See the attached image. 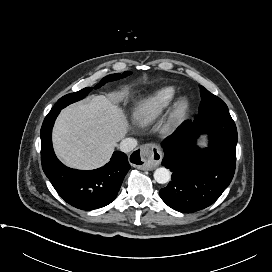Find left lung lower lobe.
I'll return each instance as SVG.
<instances>
[{
    "label": "left lung lower lobe",
    "instance_id": "left-lung-lower-lobe-1",
    "mask_svg": "<svg viewBox=\"0 0 272 272\" xmlns=\"http://www.w3.org/2000/svg\"><path fill=\"white\" fill-rule=\"evenodd\" d=\"M202 133L209 135L205 149L195 144ZM237 139L236 125L228 109L184 121L162 142V165L172 172V181L160 190L162 200L182 213L195 212L214 203L233 178Z\"/></svg>",
    "mask_w": 272,
    "mask_h": 272
}]
</instances>
